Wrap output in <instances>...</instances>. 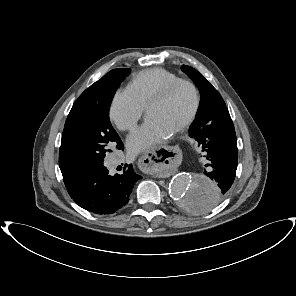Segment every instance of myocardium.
Wrapping results in <instances>:
<instances>
[{
	"label": "myocardium",
	"instance_id": "f54148a6",
	"mask_svg": "<svg viewBox=\"0 0 296 296\" xmlns=\"http://www.w3.org/2000/svg\"><path fill=\"white\" fill-rule=\"evenodd\" d=\"M182 87H188L192 91L194 103L191 113L189 114L187 119L172 132L173 134H178L185 131L195 121L201 104L200 93L197 86L193 82L188 80L176 81L173 84L169 85L162 92L151 98L146 105V113L148 114L151 107L167 101Z\"/></svg>",
	"mask_w": 296,
	"mask_h": 296
}]
</instances>
